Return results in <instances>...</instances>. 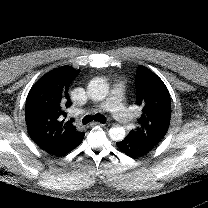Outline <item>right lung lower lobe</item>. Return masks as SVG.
Instances as JSON below:
<instances>
[{"mask_svg": "<svg viewBox=\"0 0 208 208\" xmlns=\"http://www.w3.org/2000/svg\"><path fill=\"white\" fill-rule=\"evenodd\" d=\"M83 138H84V133L72 139L71 141L56 146L46 152L57 156H63L69 153L70 151H72L74 148H76L82 142Z\"/></svg>", "mask_w": 208, "mask_h": 208, "instance_id": "right-lung-lower-lobe-1", "label": "right lung lower lobe"}]
</instances>
